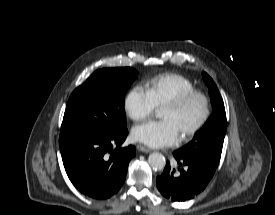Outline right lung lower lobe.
I'll use <instances>...</instances> for the list:
<instances>
[{
  "label": "right lung lower lobe",
  "instance_id": "right-lung-lower-lobe-1",
  "mask_svg": "<svg viewBox=\"0 0 275 215\" xmlns=\"http://www.w3.org/2000/svg\"><path fill=\"white\" fill-rule=\"evenodd\" d=\"M127 128L105 135L73 133L60 135L59 147L66 173L84 195L107 199L125 182L135 147L122 148Z\"/></svg>",
  "mask_w": 275,
  "mask_h": 215
}]
</instances>
